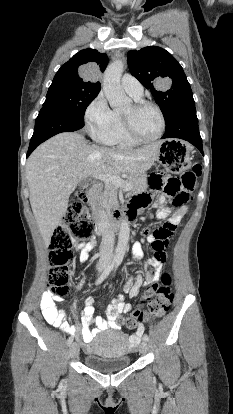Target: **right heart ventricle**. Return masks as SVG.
Instances as JSON below:
<instances>
[{"mask_svg": "<svg viewBox=\"0 0 233 414\" xmlns=\"http://www.w3.org/2000/svg\"><path fill=\"white\" fill-rule=\"evenodd\" d=\"M135 99L139 100L140 98ZM107 144L118 148H132L138 144V142L131 139L125 132L122 124L121 115L117 112H113V121Z\"/></svg>", "mask_w": 233, "mask_h": 414, "instance_id": "obj_1", "label": "right heart ventricle"}]
</instances>
